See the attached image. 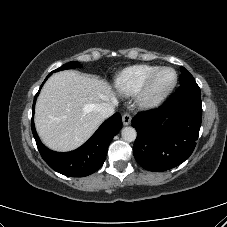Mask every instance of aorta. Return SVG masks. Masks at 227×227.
Instances as JSON below:
<instances>
[{"mask_svg":"<svg viewBox=\"0 0 227 227\" xmlns=\"http://www.w3.org/2000/svg\"><path fill=\"white\" fill-rule=\"evenodd\" d=\"M123 140L133 142L136 139L137 132L133 127H124L121 131Z\"/></svg>","mask_w":227,"mask_h":227,"instance_id":"1","label":"aorta"}]
</instances>
